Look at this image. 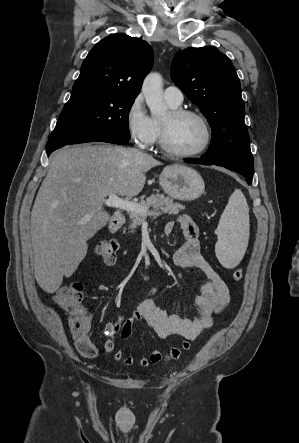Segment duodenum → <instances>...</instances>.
I'll return each instance as SVG.
<instances>
[{"label":"duodenum","instance_id":"duodenum-1","mask_svg":"<svg viewBox=\"0 0 299 443\" xmlns=\"http://www.w3.org/2000/svg\"><path fill=\"white\" fill-rule=\"evenodd\" d=\"M124 222H125V217L119 212L115 213L109 222L110 231L113 233L117 232L124 224Z\"/></svg>","mask_w":299,"mask_h":443}]
</instances>
